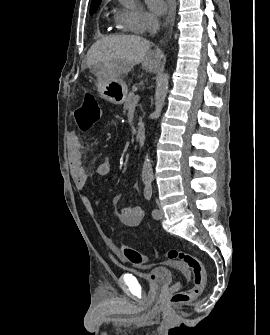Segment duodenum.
<instances>
[{"label":"duodenum","instance_id":"duodenum-1","mask_svg":"<svg viewBox=\"0 0 270 335\" xmlns=\"http://www.w3.org/2000/svg\"><path fill=\"white\" fill-rule=\"evenodd\" d=\"M136 140L140 145H144L146 140V133L144 128H139L136 132Z\"/></svg>","mask_w":270,"mask_h":335}]
</instances>
